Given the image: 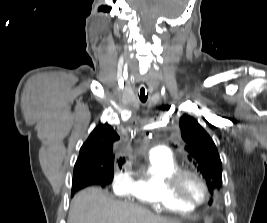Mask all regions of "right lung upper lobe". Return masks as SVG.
Listing matches in <instances>:
<instances>
[{
	"mask_svg": "<svg viewBox=\"0 0 267 223\" xmlns=\"http://www.w3.org/2000/svg\"><path fill=\"white\" fill-rule=\"evenodd\" d=\"M119 139L117 133L108 124L97 126L82 145L74 167V176L83 174L104 175L109 167H114L112 143ZM123 161H119L121 166Z\"/></svg>",
	"mask_w": 267,
	"mask_h": 223,
	"instance_id": "obj_1",
	"label": "right lung upper lobe"
}]
</instances>
